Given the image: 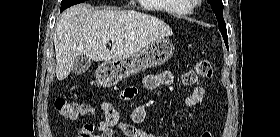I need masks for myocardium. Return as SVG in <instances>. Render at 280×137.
I'll use <instances>...</instances> for the list:
<instances>
[{
	"label": "myocardium",
	"mask_w": 280,
	"mask_h": 137,
	"mask_svg": "<svg viewBox=\"0 0 280 137\" xmlns=\"http://www.w3.org/2000/svg\"><path fill=\"white\" fill-rule=\"evenodd\" d=\"M186 1H188V2H193V1H191V0H186Z\"/></svg>",
	"instance_id": "myocardium-1"
}]
</instances>
